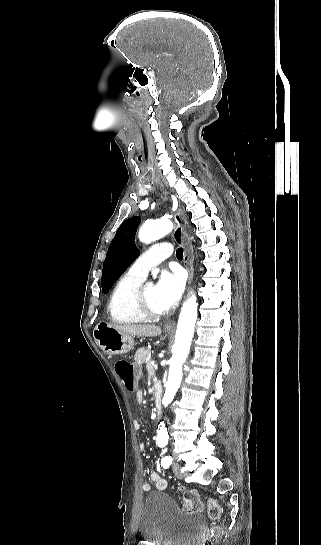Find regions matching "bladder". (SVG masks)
Wrapping results in <instances>:
<instances>
[{"mask_svg":"<svg viewBox=\"0 0 321 545\" xmlns=\"http://www.w3.org/2000/svg\"><path fill=\"white\" fill-rule=\"evenodd\" d=\"M203 524L200 514L183 512L164 492L151 491L142 507L139 531L155 545H190Z\"/></svg>","mask_w":321,"mask_h":545,"instance_id":"obj_1","label":"bladder"}]
</instances>
